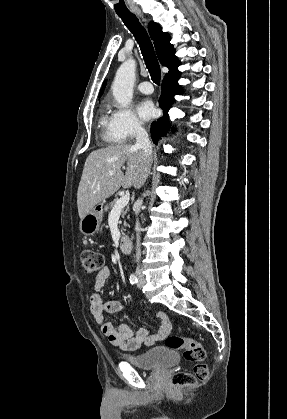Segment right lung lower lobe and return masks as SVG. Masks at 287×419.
Returning a JSON list of instances; mask_svg holds the SVG:
<instances>
[{
	"label": "right lung lower lobe",
	"mask_w": 287,
	"mask_h": 419,
	"mask_svg": "<svg viewBox=\"0 0 287 419\" xmlns=\"http://www.w3.org/2000/svg\"><path fill=\"white\" fill-rule=\"evenodd\" d=\"M179 72L168 73L162 82V93L159 99V105L163 109V117L158 121L151 124V137L153 142L157 144L158 140L165 136L169 128L168 111L174 101V95L182 92L181 87L178 85Z\"/></svg>",
	"instance_id": "98d812e1"
}]
</instances>
